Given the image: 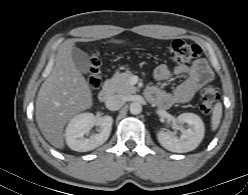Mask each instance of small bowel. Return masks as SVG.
<instances>
[{
	"label": "small bowel",
	"instance_id": "1",
	"mask_svg": "<svg viewBox=\"0 0 248 195\" xmlns=\"http://www.w3.org/2000/svg\"><path fill=\"white\" fill-rule=\"evenodd\" d=\"M183 77L182 82L171 92L161 87H150L147 95L151 101L163 108L174 104L189 102L198 89L212 79V71L204 60H198L191 65H177L171 69L165 64L159 65L154 71L158 82L168 80L172 75Z\"/></svg>",
	"mask_w": 248,
	"mask_h": 195
}]
</instances>
